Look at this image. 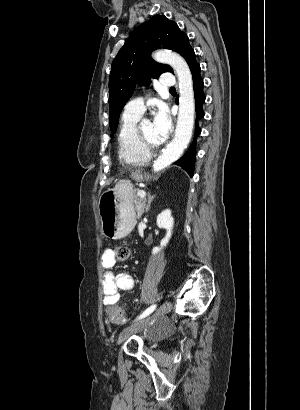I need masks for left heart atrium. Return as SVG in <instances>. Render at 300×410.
Returning <instances> with one entry per match:
<instances>
[{"label":"left heart atrium","instance_id":"left-heart-atrium-1","mask_svg":"<svg viewBox=\"0 0 300 410\" xmlns=\"http://www.w3.org/2000/svg\"><path fill=\"white\" fill-rule=\"evenodd\" d=\"M152 123L158 143L164 142L171 130V119L165 106L157 107Z\"/></svg>","mask_w":300,"mask_h":410}]
</instances>
